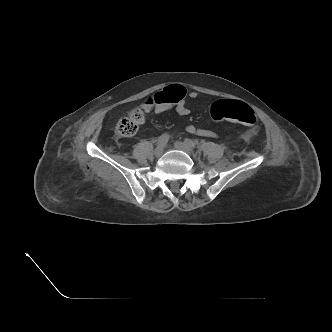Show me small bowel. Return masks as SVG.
Masks as SVG:
<instances>
[{
  "instance_id": "obj_1",
  "label": "small bowel",
  "mask_w": 332,
  "mask_h": 332,
  "mask_svg": "<svg viewBox=\"0 0 332 332\" xmlns=\"http://www.w3.org/2000/svg\"><path fill=\"white\" fill-rule=\"evenodd\" d=\"M188 96L190 99L195 100L198 97V93L196 91H191L188 94ZM144 108L146 111H150L152 107H151V105H144ZM172 108H175V111L181 116H187L190 114V109L187 106L185 100H183V99L175 104L156 105L154 108V111L157 114H161V113L168 112ZM186 130L188 133L196 135V136H200V137H207V138H216L217 137L215 132H213L211 130H207V129L198 128L194 125H188L186 127ZM255 133L256 132L254 130L248 131V132H246L245 137L249 138Z\"/></svg>"
}]
</instances>
